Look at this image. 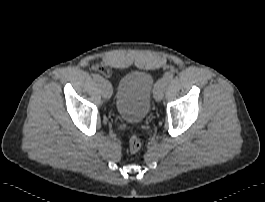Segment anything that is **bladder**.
Returning <instances> with one entry per match:
<instances>
[{"instance_id": "31cf9c89", "label": "bladder", "mask_w": 265, "mask_h": 202, "mask_svg": "<svg viewBox=\"0 0 265 202\" xmlns=\"http://www.w3.org/2000/svg\"><path fill=\"white\" fill-rule=\"evenodd\" d=\"M155 83L145 71L126 74L116 90V111L127 123H141L148 115Z\"/></svg>"}]
</instances>
